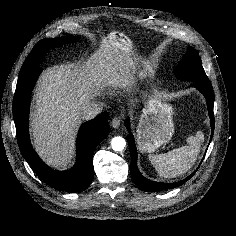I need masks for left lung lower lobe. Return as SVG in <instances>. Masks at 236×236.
<instances>
[{
	"instance_id": "obj_1",
	"label": "left lung lower lobe",
	"mask_w": 236,
	"mask_h": 236,
	"mask_svg": "<svg viewBox=\"0 0 236 236\" xmlns=\"http://www.w3.org/2000/svg\"><path fill=\"white\" fill-rule=\"evenodd\" d=\"M192 86L197 88L200 92H202L207 100L208 113L210 116V124H211V129H212V134H211V138H212L213 132H214L215 119H214V113H213L214 92H213L211 82L209 81V79L203 80V81H197V82H193ZM125 124H126L127 129L129 130V120H126ZM127 140H128V144L130 148V153H131L130 172L132 175V180L143 191L156 192V191L176 188L178 186L183 185L186 181H188L197 171V170L194 171L190 176L176 183H161V182L150 181L146 179L145 177H143L138 170L137 150H136V145H135L134 138L131 132L129 133Z\"/></svg>"
}]
</instances>
